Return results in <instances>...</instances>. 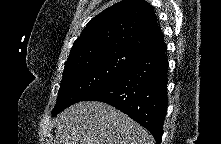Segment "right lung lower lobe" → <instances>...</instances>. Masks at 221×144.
<instances>
[{"label":"right lung lower lobe","instance_id":"right-lung-lower-lobe-1","mask_svg":"<svg viewBox=\"0 0 221 144\" xmlns=\"http://www.w3.org/2000/svg\"><path fill=\"white\" fill-rule=\"evenodd\" d=\"M167 72L166 44L162 43L83 101H100L117 108L148 129L160 144L168 105Z\"/></svg>","mask_w":221,"mask_h":144}]
</instances>
